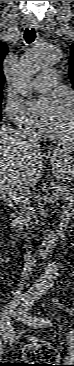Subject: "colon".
Instances as JSON below:
<instances>
[{
  "label": "colon",
  "mask_w": 74,
  "mask_h": 366,
  "mask_svg": "<svg viewBox=\"0 0 74 366\" xmlns=\"http://www.w3.org/2000/svg\"><path fill=\"white\" fill-rule=\"evenodd\" d=\"M24 357L27 360L38 359L48 362H53L55 360L54 353H52L48 344L44 342H36L34 344L28 345L24 350ZM36 366H52V364H37Z\"/></svg>",
  "instance_id": "obj_1"
}]
</instances>
